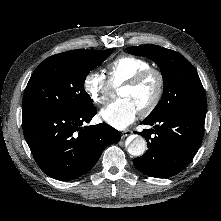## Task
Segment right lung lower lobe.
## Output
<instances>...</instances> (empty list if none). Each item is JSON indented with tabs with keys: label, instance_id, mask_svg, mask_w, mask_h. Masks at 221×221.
Returning a JSON list of instances; mask_svg holds the SVG:
<instances>
[{
	"label": "right lung lower lobe",
	"instance_id": "98d812e1",
	"mask_svg": "<svg viewBox=\"0 0 221 221\" xmlns=\"http://www.w3.org/2000/svg\"><path fill=\"white\" fill-rule=\"evenodd\" d=\"M97 113L23 111V133L32 155L48 176L73 180L96 164L106 146L118 141L120 133L101 123L84 126Z\"/></svg>",
	"mask_w": 221,
	"mask_h": 221
}]
</instances>
